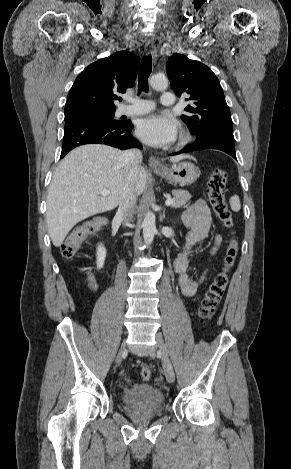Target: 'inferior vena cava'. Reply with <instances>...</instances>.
<instances>
[{
  "mask_svg": "<svg viewBox=\"0 0 291 469\" xmlns=\"http://www.w3.org/2000/svg\"><path fill=\"white\" fill-rule=\"evenodd\" d=\"M122 160L127 170L128 180L123 188L121 201L116 215L127 223L132 219L137 202L138 194L132 186V182L135 180L141 166L142 152L138 149L126 150L122 155Z\"/></svg>",
  "mask_w": 291,
  "mask_h": 469,
  "instance_id": "obj_1",
  "label": "inferior vena cava"
}]
</instances>
